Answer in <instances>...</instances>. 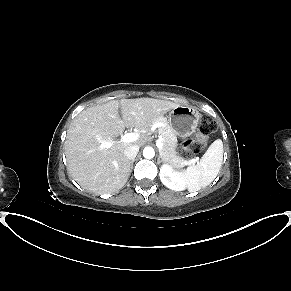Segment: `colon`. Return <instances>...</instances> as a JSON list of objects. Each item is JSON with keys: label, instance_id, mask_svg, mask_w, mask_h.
I'll return each instance as SVG.
<instances>
[{"label": "colon", "instance_id": "obj_1", "mask_svg": "<svg viewBox=\"0 0 291 291\" xmlns=\"http://www.w3.org/2000/svg\"><path fill=\"white\" fill-rule=\"evenodd\" d=\"M215 128L216 126L214 122L209 119H204L200 125V130L204 135L212 133ZM200 148V142L193 139H187L179 145L178 152L181 156L189 157L198 153Z\"/></svg>", "mask_w": 291, "mask_h": 291}]
</instances>
